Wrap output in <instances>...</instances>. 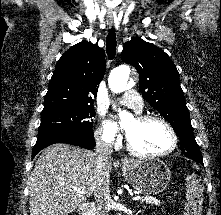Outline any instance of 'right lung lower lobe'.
<instances>
[{
    "instance_id": "98d812e1",
    "label": "right lung lower lobe",
    "mask_w": 221,
    "mask_h": 215,
    "mask_svg": "<svg viewBox=\"0 0 221 215\" xmlns=\"http://www.w3.org/2000/svg\"><path fill=\"white\" fill-rule=\"evenodd\" d=\"M55 143H68L85 149H92L96 145L92 130L76 133H61L46 137H38L32 152V159L39 151Z\"/></svg>"
}]
</instances>
